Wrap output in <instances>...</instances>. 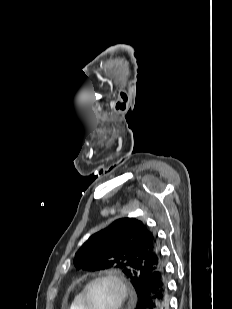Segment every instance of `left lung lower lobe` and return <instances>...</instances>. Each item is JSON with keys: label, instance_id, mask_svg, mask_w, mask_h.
<instances>
[{"label": "left lung lower lobe", "instance_id": "left-lung-lower-lobe-1", "mask_svg": "<svg viewBox=\"0 0 232 309\" xmlns=\"http://www.w3.org/2000/svg\"><path fill=\"white\" fill-rule=\"evenodd\" d=\"M170 297L164 266L155 269L149 276L136 309H169Z\"/></svg>", "mask_w": 232, "mask_h": 309}]
</instances>
